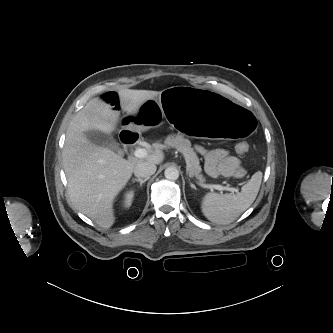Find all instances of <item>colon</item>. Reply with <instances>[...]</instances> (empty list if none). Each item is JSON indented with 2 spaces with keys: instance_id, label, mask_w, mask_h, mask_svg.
Segmentation results:
<instances>
[{
  "instance_id": "colon-1",
  "label": "colon",
  "mask_w": 333,
  "mask_h": 333,
  "mask_svg": "<svg viewBox=\"0 0 333 333\" xmlns=\"http://www.w3.org/2000/svg\"><path fill=\"white\" fill-rule=\"evenodd\" d=\"M249 149V145L246 142H240L237 144L236 146V150L239 154H245ZM234 176L236 178H243L246 176V170L243 168H238L235 173Z\"/></svg>"
}]
</instances>
